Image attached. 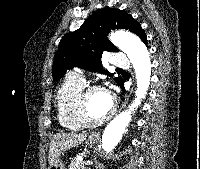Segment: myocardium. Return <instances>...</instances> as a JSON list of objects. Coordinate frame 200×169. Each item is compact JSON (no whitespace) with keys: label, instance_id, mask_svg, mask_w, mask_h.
<instances>
[{"label":"myocardium","instance_id":"myocardium-1","mask_svg":"<svg viewBox=\"0 0 200 169\" xmlns=\"http://www.w3.org/2000/svg\"><path fill=\"white\" fill-rule=\"evenodd\" d=\"M94 91L105 92V89L98 85L85 86L82 88V90L79 92V94L76 97L75 109H76L77 119L82 125V127L84 128L90 129V128H96L103 125L113 116L115 112V105L112 102L111 108L105 117H103L102 119L98 121H94V122L90 121L87 117V112H86V99H87V96Z\"/></svg>","mask_w":200,"mask_h":169}]
</instances>
